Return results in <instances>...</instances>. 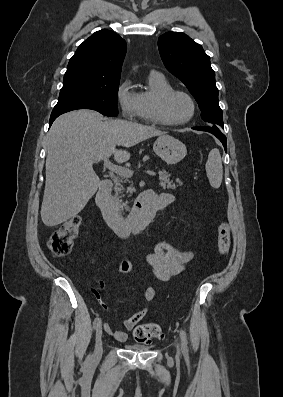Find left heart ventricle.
Here are the masks:
<instances>
[{
  "mask_svg": "<svg viewBox=\"0 0 283 397\" xmlns=\"http://www.w3.org/2000/svg\"><path fill=\"white\" fill-rule=\"evenodd\" d=\"M191 113V104L183 95H174L166 105V116L171 121L186 119Z\"/></svg>",
  "mask_w": 283,
  "mask_h": 397,
  "instance_id": "obj_1",
  "label": "left heart ventricle"
}]
</instances>
